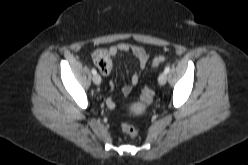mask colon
<instances>
[{"label":"colon","instance_id":"5ec220e1","mask_svg":"<svg viewBox=\"0 0 248 165\" xmlns=\"http://www.w3.org/2000/svg\"><path fill=\"white\" fill-rule=\"evenodd\" d=\"M165 61V57L162 55L156 56L152 61V66L156 67L161 65ZM93 62L96 67L100 70H106L111 63L110 56L106 50H98L93 54ZM153 98V90L150 86H144L141 93V103L144 105H148L151 103ZM121 129L124 133L129 135L130 137H135L138 133L137 128L130 123H123L121 125Z\"/></svg>","mask_w":248,"mask_h":165}]
</instances>
